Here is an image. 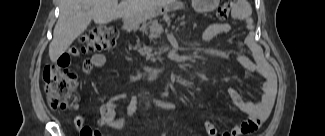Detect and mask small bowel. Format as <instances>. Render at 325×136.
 I'll return each instance as SVG.
<instances>
[{
	"mask_svg": "<svg viewBox=\"0 0 325 136\" xmlns=\"http://www.w3.org/2000/svg\"><path fill=\"white\" fill-rule=\"evenodd\" d=\"M235 31L234 27L229 23H212L208 25L202 34L203 41H211L219 35L233 33ZM237 46L240 51L241 63L249 70L256 71L264 79V84L262 87V93L260 99L257 102L246 101L240 92L233 88L227 89V94L230 101L234 107L241 110L248 115V118L235 125L230 130L222 133L223 136H240L254 132L260 125L262 121L268 116L270 109L274 102L275 94V78L273 74L268 69L267 65L262 59L259 60L257 64L253 63L248 56L245 55L244 49L249 45L242 41H237ZM82 44H67L64 49V53H60L58 57L59 71H64L66 69V74L72 80H78L79 74L76 73L75 68H68L67 63L73 56L77 55L82 51ZM106 64V56L102 53H97L92 56L91 59H86L83 64V70L86 74H90L94 69H102ZM68 68V69H67ZM126 95L122 93L114 94L110 96L100 107V125H106L114 130H120L125 124V116L134 114L139 107V101L136 98H131L125 107L124 115H117L118 103L124 101ZM179 105L177 102L169 103L170 108H175ZM76 127L83 132L84 130L91 129L85 125V118L83 116H77L75 118ZM205 130L209 136H216L218 130L215 125L207 120L204 124Z\"/></svg>",
	"mask_w": 325,
	"mask_h": 136,
	"instance_id": "small-bowel-1",
	"label": "small bowel"
}]
</instances>
